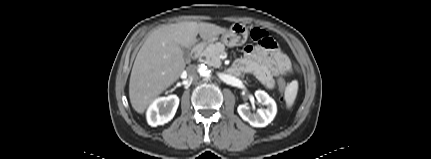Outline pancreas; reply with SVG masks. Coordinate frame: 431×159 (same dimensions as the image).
<instances>
[{"mask_svg": "<svg viewBox=\"0 0 431 159\" xmlns=\"http://www.w3.org/2000/svg\"><path fill=\"white\" fill-rule=\"evenodd\" d=\"M225 53V46L220 43L210 44L201 54L204 57V63L208 66L220 67V55Z\"/></svg>", "mask_w": 431, "mask_h": 159, "instance_id": "cf45deb5", "label": "pancreas"}]
</instances>
